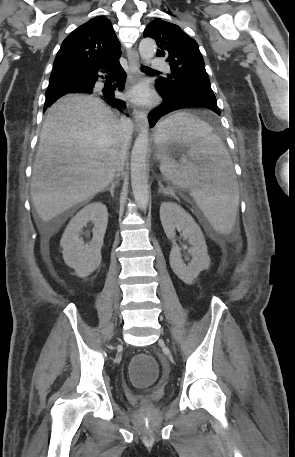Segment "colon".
I'll list each match as a JSON object with an SVG mask.
<instances>
[{
    "instance_id": "obj_1",
    "label": "colon",
    "mask_w": 295,
    "mask_h": 457,
    "mask_svg": "<svg viewBox=\"0 0 295 457\" xmlns=\"http://www.w3.org/2000/svg\"><path fill=\"white\" fill-rule=\"evenodd\" d=\"M131 357L128 377H132L133 390H148V383H156L158 365L150 351H137Z\"/></svg>"
}]
</instances>
